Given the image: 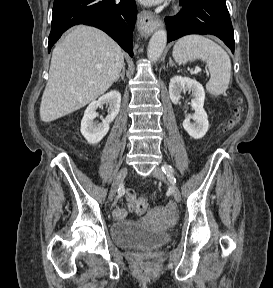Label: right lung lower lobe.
<instances>
[{
	"label": "right lung lower lobe",
	"instance_id": "obj_1",
	"mask_svg": "<svg viewBox=\"0 0 273 288\" xmlns=\"http://www.w3.org/2000/svg\"><path fill=\"white\" fill-rule=\"evenodd\" d=\"M136 17L134 0H54L48 52L68 28L85 24L106 32L132 57Z\"/></svg>",
	"mask_w": 273,
	"mask_h": 288
}]
</instances>
